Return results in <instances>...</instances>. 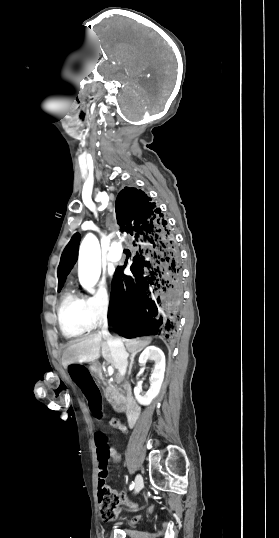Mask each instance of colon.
<instances>
[{
  "label": "colon",
  "mask_w": 279,
  "mask_h": 538,
  "mask_svg": "<svg viewBox=\"0 0 279 538\" xmlns=\"http://www.w3.org/2000/svg\"><path fill=\"white\" fill-rule=\"evenodd\" d=\"M94 441L98 454L100 514L104 520L110 521L116 516V510L120 502L119 495L107 484V466L111 456V448L108 437L103 432H96Z\"/></svg>",
  "instance_id": "obj_1"
}]
</instances>
